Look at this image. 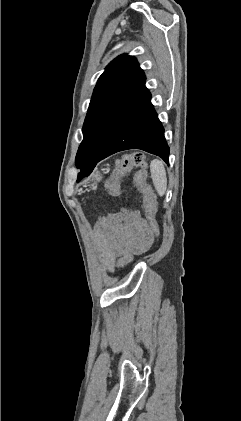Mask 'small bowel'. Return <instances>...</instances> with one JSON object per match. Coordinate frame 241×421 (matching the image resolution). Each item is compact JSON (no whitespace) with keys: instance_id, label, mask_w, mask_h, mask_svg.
Wrapping results in <instances>:
<instances>
[{"instance_id":"1","label":"small bowel","mask_w":241,"mask_h":421,"mask_svg":"<svg viewBox=\"0 0 241 421\" xmlns=\"http://www.w3.org/2000/svg\"><path fill=\"white\" fill-rule=\"evenodd\" d=\"M94 238L105 268L111 272L116 260L124 255H141L152 244L153 233L139 213L122 212L99 220Z\"/></svg>"}]
</instances>
